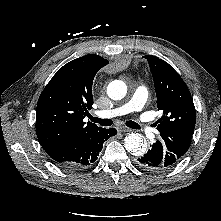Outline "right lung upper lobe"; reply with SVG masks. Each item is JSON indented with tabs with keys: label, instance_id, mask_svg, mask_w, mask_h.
I'll return each instance as SVG.
<instances>
[{
	"label": "right lung upper lobe",
	"instance_id": "obj_1",
	"mask_svg": "<svg viewBox=\"0 0 221 221\" xmlns=\"http://www.w3.org/2000/svg\"><path fill=\"white\" fill-rule=\"evenodd\" d=\"M107 64L95 54L74 59L60 68L42 91L36 110V134L53 160H61L101 129L83 119L93 104V79Z\"/></svg>",
	"mask_w": 221,
	"mask_h": 221
}]
</instances>
